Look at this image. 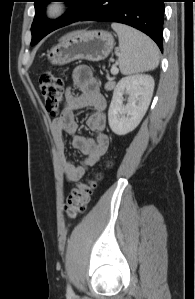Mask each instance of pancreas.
I'll use <instances>...</instances> for the list:
<instances>
[{
    "label": "pancreas",
    "mask_w": 195,
    "mask_h": 299,
    "mask_svg": "<svg viewBox=\"0 0 195 299\" xmlns=\"http://www.w3.org/2000/svg\"><path fill=\"white\" fill-rule=\"evenodd\" d=\"M115 87V82L114 81H109L108 83H106L105 85V89L106 90H112Z\"/></svg>",
    "instance_id": "obj_1"
}]
</instances>
